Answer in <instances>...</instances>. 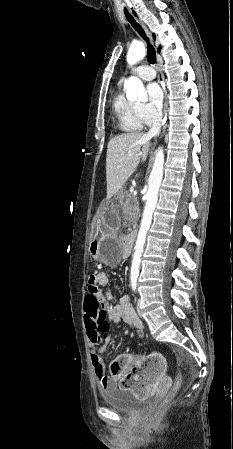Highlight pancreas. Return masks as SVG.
Instances as JSON below:
<instances>
[{"mask_svg": "<svg viewBox=\"0 0 233 449\" xmlns=\"http://www.w3.org/2000/svg\"><path fill=\"white\" fill-rule=\"evenodd\" d=\"M125 197H126V200L128 202H132L133 204L132 205H128L124 209V211L127 214L136 217L138 215V212H139L137 198L134 195H132V194H126Z\"/></svg>", "mask_w": 233, "mask_h": 449, "instance_id": "cf45deb5", "label": "pancreas"}]
</instances>
